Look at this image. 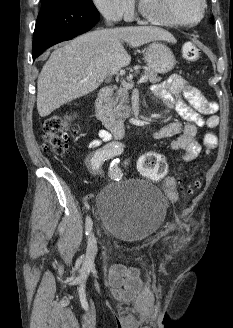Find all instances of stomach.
I'll use <instances>...</instances> for the list:
<instances>
[{"instance_id":"stomach-1","label":"stomach","mask_w":233,"mask_h":328,"mask_svg":"<svg viewBox=\"0 0 233 328\" xmlns=\"http://www.w3.org/2000/svg\"><path fill=\"white\" fill-rule=\"evenodd\" d=\"M144 57L148 67L156 73H167L176 65L171 49L158 41H153L145 48Z\"/></svg>"}]
</instances>
